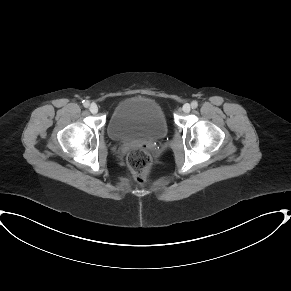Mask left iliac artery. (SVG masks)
I'll return each mask as SVG.
<instances>
[{"mask_svg":"<svg viewBox=\"0 0 291 291\" xmlns=\"http://www.w3.org/2000/svg\"><path fill=\"white\" fill-rule=\"evenodd\" d=\"M191 107H192L193 109L197 108V107H198V102H197L196 100L192 101V102H191Z\"/></svg>","mask_w":291,"mask_h":291,"instance_id":"1","label":"left iliac artery"}]
</instances>
